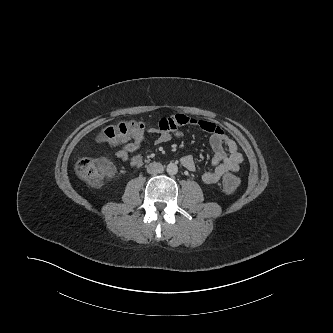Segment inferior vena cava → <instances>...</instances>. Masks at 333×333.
I'll use <instances>...</instances> for the list:
<instances>
[{"mask_svg":"<svg viewBox=\"0 0 333 333\" xmlns=\"http://www.w3.org/2000/svg\"><path fill=\"white\" fill-rule=\"evenodd\" d=\"M164 167L161 163L153 162L147 166V172L149 174H158L163 172Z\"/></svg>","mask_w":333,"mask_h":333,"instance_id":"obj_1","label":"inferior vena cava"}]
</instances>
